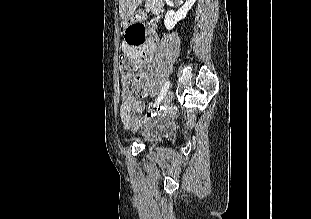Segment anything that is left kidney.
Segmentation results:
<instances>
[{
    "label": "left kidney",
    "mask_w": 311,
    "mask_h": 219,
    "mask_svg": "<svg viewBox=\"0 0 311 219\" xmlns=\"http://www.w3.org/2000/svg\"><path fill=\"white\" fill-rule=\"evenodd\" d=\"M196 0H186L184 5L177 11H168L165 15L164 24L165 27L170 30L174 28V26L179 22L180 20L184 19L188 13V11L191 9V7L194 5Z\"/></svg>",
    "instance_id": "left-kidney-1"
}]
</instances>
